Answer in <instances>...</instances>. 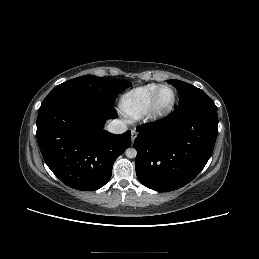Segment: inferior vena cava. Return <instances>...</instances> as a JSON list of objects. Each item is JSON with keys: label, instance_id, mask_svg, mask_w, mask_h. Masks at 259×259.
Returning <instances> with one entry per match:
<instances>
[{"label": "inferior vena cava", "instance_id": "inferior-vena-cava-1", "mask_svg": "<svg viewBox=\"0 0 259 259\" xmlns=\"http://www.w3.org/2000/svg\"><path fill=\"white\" fill-rule=\"evenodd\" d=\"M106 129L112 134H122L127 130V126L121 120H113L107 125Z\"/></svg>", "mask_w": 259, "mask_h": 259}]
</instances>
